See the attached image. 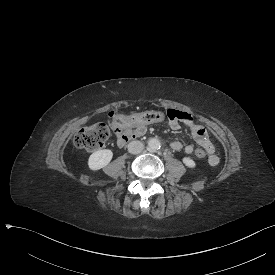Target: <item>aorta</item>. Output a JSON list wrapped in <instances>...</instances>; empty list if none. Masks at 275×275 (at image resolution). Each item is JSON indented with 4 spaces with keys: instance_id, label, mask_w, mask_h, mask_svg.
I'll return each instance as SVG.
<instances>
[{
    "instance_id": "762f6f07",
    "label": "aorta",
    "mask_w": 275,
    "mask_h": 275,
    "mask_svg": "<svg viewBox=\"0 0 275 275\" xmlns=\"http://www.w3.org/2000/svg\"><path fill=\"white\" fill-rule=\"evenodd\" d=\"M160 141L157 138H150L148 141V146L149 148H151L152 150H157L160 148Z\"/></svg>"
}]
</instances>
